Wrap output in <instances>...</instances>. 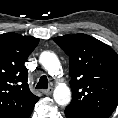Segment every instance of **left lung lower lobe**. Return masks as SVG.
I'll use <instances>...</instances> for the list:
<instances>
[{"instance_id": "0a47b994", "label": "left lung lower lobe", "mask_w": 118, "mask_h": 118, "mask_svg": "<svg viewBox=\"0 0 118 118\" xmlns=\"http://www.w3.org/2000/svg\"><path fill=\"white\" fill-rule=\"evenodd\" d=\"M65 115L67 118H108L104 116L81 114V113L74 112L70 109H65Z\"/></svg>"}]
</instances>
